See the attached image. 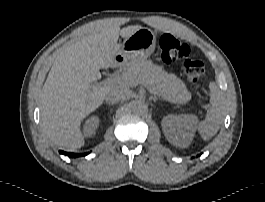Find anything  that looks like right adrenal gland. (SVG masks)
<instances>
[{
  "label": "right adrenal gland",
  "mask_w": 265,
  "mask_h": 202,
  "mask_svg": "<svg viewBox=\"0 0 265 202\" xmlns=\"http://www.w3.org/2000/svg\"><path fill=\"white\" fill-rule=\"evenodd\" d=\"M106 104L109 105V106L114 105L113 103H109V102H106Z\"/></svg>",
  "instance_id": "obj_1"
}]
</instances>
